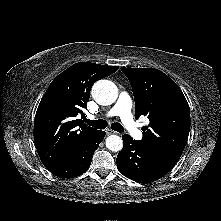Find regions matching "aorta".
Here are the masks:
<instances>
[{
    "label": "aorta",
    "mask_w": 221,
    "mask_h": 221,
    "mask_svg": "<svg viewBox=\"0 0 221 221\" xmlns=\"http://www.w3.org/2000/svg\"><path fill=\"white\" fill-rule=\"evenodd\" d=\"M91 94L98 104L106 106L116 101L118 89L109 80H99L93 85ZM106 147L111 151L118 152L123 147V141L118 135H110L106 138Z\"/></svg>",
    "instance_id": "762f6f07"
}]
</instances>
